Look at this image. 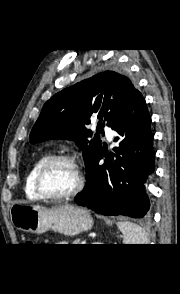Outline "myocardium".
<instances>
[{
  "mask_svg": "<svg viewBox=\"0 0 180 294\" xmlns=\"http://www.w3.org/2000/svg\"><path fill=\"white\" fill-rule=\"evenodd\" d=\"M59 162H66L70 164L71 166H73L77 174V184L74 187V189H72L71 191L65 194H59V195L48 194L44 191L42 186L43 177L51 166ZM84 185H85V178L80 166L78 165L75 158L68 154L54 155L49 157L37 170L35 175V180H34V187L38 196L41 199L49 200V201H61V200H67V199L73 198L77 196L83 190Z\"/></svg>",
  "mask_w": 180,
  "mask_h": 294,
  "instance_id": "1",
  "label": "myocardium"
}]
</instances>
